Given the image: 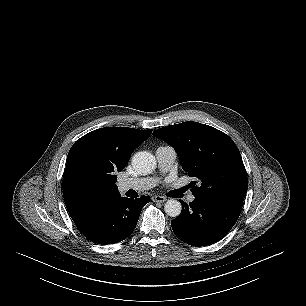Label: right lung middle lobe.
Instances as JSON below:
<instances>
[{"label":"right lung middle lobe","instance_id":"1","mask_svg":"<svg viewBox=\"0 0 306 306\" xmlns=\"http://www.w3.org/2000/svg\"><path fill=\"white\" fill-rule=\"evenodd\" d=\"M85 179L89 182H92L95 180L94 176L91 173H85Z\"/></svg>","mask_w":306,"mask_h":306}]
</instances>
